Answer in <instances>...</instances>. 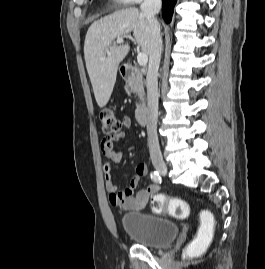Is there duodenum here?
I'll return each instance as SVG.
<instances>
[{
	"label": "duodenum",
	"mask_w": 265,
	"mask_h": 269,
	"mask_svg": "<svg viewBox=\"0 0 265 269\" xmlns=\"http://www.w3.org/2000/svg\"><path fill=\"white\" fill-rule=\"evenodd\" d=\"M121 73H122L123 79L125 81H127L133 87L138 88L140 91L141 103L136 108L135 117H136V121L138 122V124L144 125L147 122L148 106H147V102H146V93L141 87L143 75L138 69H136L131 64H126V65L122 66Z\"/></svg>",
	"instance_id": "410a0bca"
}]
</instances>
